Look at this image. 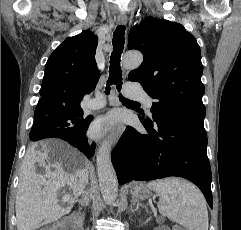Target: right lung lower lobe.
<instances>
[{"label": "right lung lower lobe", "instance_id": "right-lung-lower-lobe-1", "mask_svg": "<svg viewBox=\"0 0 241 230\" xmlns=\"http://www.w3.org/2000/svg\"><path fill=\"white\" fill-rule=\"evenodd\" d=\"M36 114L38 115L40 113H37V111L35 110L34 115ZM90 122H91V119L89 120L88 124L82 128L80 132H72V133L56 132V133L49 134V136L60 138L67 141L72 146L79 149L87 157L91 158L94 155L95 144L93 143L92 145H89L88 139L86 136V131ZM34 133H41V126L36 123H33V127L31 130V134H34ZM47 138H50V137H47Z\"/></svg>", "mask_w": 241, "mask_h": 230}]
</instances>
